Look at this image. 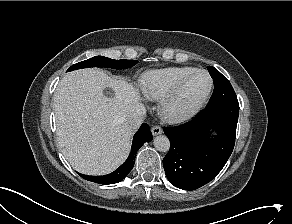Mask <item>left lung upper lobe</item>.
Returning a JSON list of instances; mask_svg holds the SVG:
<instances>
[{
    "instance_id": "5c2ea615",
    "label": "left lung upper lobe",
    "mask_w": 292,
    "mask_h": 224,
    "mask_svg": "<svg viewBox=\"0 0 292 224\" xmlns=\"http://www.w3.org/2000/svg\"><path fill=\"white\" fill-rule=\"evenodd\" d=\"M213 82H214V92L207 105V107L215 105L219 102L237 98L233 87L226 77H224L216 68L208 66L207 67Z\"/></svg>"
}]
</instances>
